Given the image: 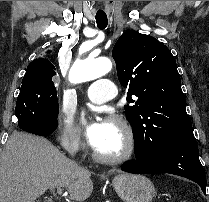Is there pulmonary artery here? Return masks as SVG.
<instances>
[{"mask_svg": "<svg viewBox=\"0 0 209 202\" xmlns=\"http://www.w3.org/2000/svg\"><path fill=\"white\" fill-rule=\"evenodd\" d=\"M116 84L110 80L98 79L88 85L85 93L90 102L102 104L114 95Z\"/></svg>", "mask_w": 209, "mask_h": 202, "instance_id": "e3ab8cb5", "label": "pulmonary artery"}]
</instances>
